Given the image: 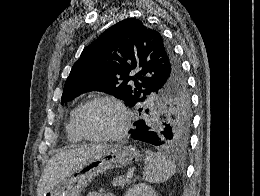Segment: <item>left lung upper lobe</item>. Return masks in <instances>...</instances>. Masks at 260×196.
Here are the masks:
<instances>
[{"mask_svg": "<svg viewBox=\"0 0 260 196\" xmlns=\"http://www.w3.org/2000/svg\"><path fill=\"white\" fill-rule=\"evenodd\" d=\"M130 80L133 86L128 85ZM93 90L109 93L130 107L139 106L155 91L154 103L137 109L142 120L159 134V146L174 151L187 148L192 123L190 97L180 64L158 30L127 18L87 46L66 80L62 104Z\"/></svg>", "mask_w": 260, "mask_h": 196, "instance_id": "obj_1", "label": "left lung upper lobe"}]
</instances>
